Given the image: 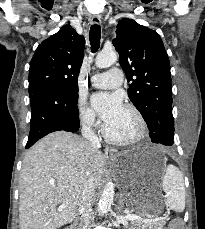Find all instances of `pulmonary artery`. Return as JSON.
Instances as JSON below:
<instances>
[{
	"mask_svg": "<svg viewBox=\"0 0 205 229\" xmlns=\"http://www.w3.org/2000/svg\"><path fill=\"white\" fill-rule=\"evenodd\" d=\"M123 82V71L120 68L113 67L104 73H98L92 76L91 83L96 88H114Z\"/></svg>",
	"mask_w": 205,
	"mask_h": 229,
	"instance_id": "1",
	"label": "pulmonary artery"
}]
</instances>
